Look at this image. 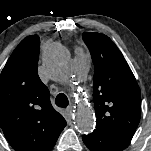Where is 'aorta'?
Here are the masks:
<instances>
[{
  "label": "aorta",
  "instance_id": "obj_1",
  "mask_svg": "<svg viewBox=\"0 0 151 151\" xmlns=\"http://www.w3.org/2000/svg\"><path fill=\"white\" fill-rule=\"evenodd\" d=\"M47 67L56 75L69 79L70 73L67 72L68 55L65 48L54 44L50 46L45 55ZM75 124L82 133H89L95 127V116L92 109L85 101L79 100L75 108Z\"/></svg>",
  "mask_w": 151,
  "mask_h": 151
}]
</instances>
